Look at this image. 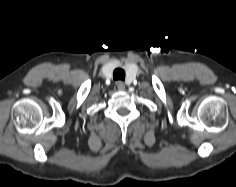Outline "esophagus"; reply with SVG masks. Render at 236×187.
I'll list each match as a JSON object with an SVG mask.
<instances>
[{
    "label": "esophagus",
    "mask_w": 236,
    "mask_h": 187,
    "mask_svg": "<svg viewBox=\"0 0 236 187\" xmlns=\"http://www.w3.org/2000/svg\"><path fill=\"white\" fill-rule=\"evenodd\" d=\"M116 85H117L118 90H120V91H124L125 90V84H124L123 81H117Z\"/></svg>",
    "instance_id": "34e87169"
}]
</instances>
